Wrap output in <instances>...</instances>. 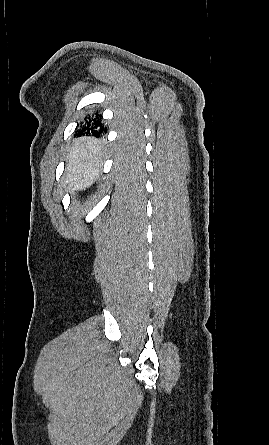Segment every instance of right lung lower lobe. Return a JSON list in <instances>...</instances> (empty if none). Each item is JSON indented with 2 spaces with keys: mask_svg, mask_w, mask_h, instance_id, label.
<instances>
[{
  "mask_svg": "<svg viewBox=\"0 0 269 445\" xmlns=\"http://www.w3.org/2000/svg\"><path fill=\"white\" fill-rule=\"evenodd\" d=\"M78 132L79 134H77V136L94 135L99 137L101 134L107 132V128L101 123V115L96 113L85 118V121L83 124H81V128L78 130Z\"/></svg>",
  "mask_w": 269,
  "mask_h": 445,
  "instance_id": "98d812e1",
  "label": "right lung lower lobe"
}]
</instances>
